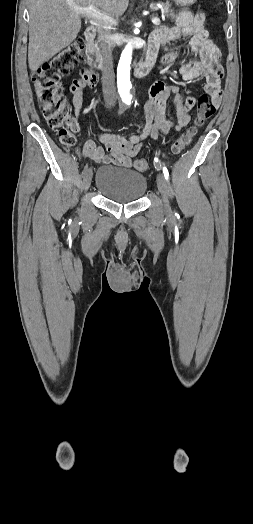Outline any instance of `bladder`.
<instances>
[{
  "label": "bladder",
  "mask_w": 253,
  "mask_h": 524,
  "mask_svg": "<svg viewBox=\"0 0 253 524\" xmlns=\"http://www.w3.org/2000/svg\"><path fill=\"white\" fill-rule=\"evenodd\" d=\"M95 186L106 199L124 204L142 198L147 180L143 174L130 169L102 166L97 171Z\"/></svg>",
  "instance_id": "bladder-1"
}]
</instances>
